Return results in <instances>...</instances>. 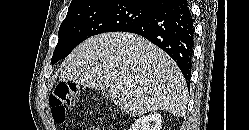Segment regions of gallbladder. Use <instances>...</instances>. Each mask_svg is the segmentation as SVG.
Instances as JSON below:
<instances>
[{"instance_id":"obj_1","label":"gallbladder","mask_w":249,"mask_h":130,"mask_svg":"<svg viewBox=\"0 0 249 130\" xmlns=\"http://www.w3.org/2000/svg\"><path fill=\"white\" fill-rule=\"evenodd\" d=\"M102 93L106 96V97H111V92L107 89L103 90Z\"/></svg>"}]
</instances>
